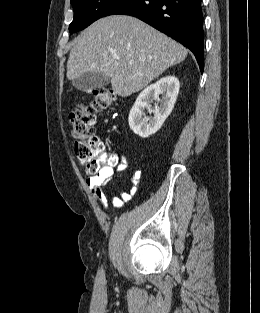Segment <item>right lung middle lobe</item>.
I'll return each instance as SVG.
<instances>
[{
  "label": "right lung middle lobe",
  "mask_w": 260,
  "mask_h": 313,
  "mask_svg": "<svg viewBox=\"0 0 260 313\" xmlns=\"http://www.w3.org/2000/svg\"><path fill=\"white\" fill-rule=\"evenodd\" d=\"M119 0H71L74 19L69 26L70 33L83 30L104 14Z\"/></svg>",
  "instance_id": "1"
}]
</instances>
